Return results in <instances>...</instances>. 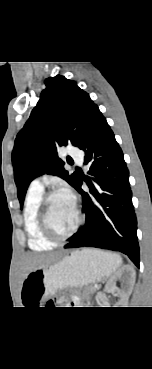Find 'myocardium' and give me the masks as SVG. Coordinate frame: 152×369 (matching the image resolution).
I'll list each match as a JSON object with an SVG mask.
<instances>
[{
	"label": "myocardium",
	"instance_id": "myocardium-1",
	"mask_svg": "<svg viewBox=\"0 0 152 369\" xmlns=\"http://www.w3.org/2000/svg\"><path fill=\"white\" fill-rule=\"evenodd\" d=\"M58 194H67L72 199L74 206H75L76 214H77V220H76L74 227L71 229L70 232L64 235L57 234L53 230L50 224V220H49L50 201L54 196ZM83 221H84V215L80 209L77 199L71 193H68V192L65 193V191H60V190H53L43 195L41 202H40V208H39V225H40L42 233L45 235V237L48 240L54 243H59V242H63L69 239L70 237H72L73 235L77 233Z\"/></svg>",
	"mask_w": 152,
	"mask_h": 369
}]
</instances>
